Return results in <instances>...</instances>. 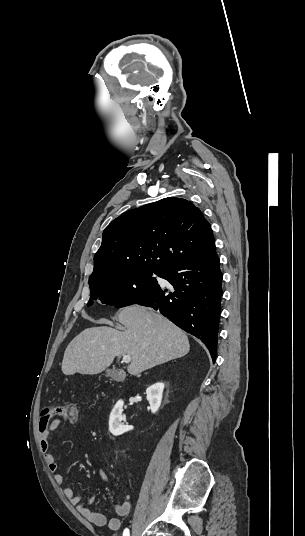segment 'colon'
<instances>
[{
	"instance_id": "1",
	"label": "colon",
	"mask_w": 305,
	"mask_h": 536,
	"mask_svg": "<svg viewBox=\"0 0 305 536\" xmlns=\"http://www.w3.org/2000/svg\"><path fill=\"white\" fill-rule=\"evenodd\" d=\"M59 405H62L64 407L63 415H67L69 417L70 422H75L77 420L78 411L74 404L68 403V404H59Z\"/></svg>"
}]
</instances>
